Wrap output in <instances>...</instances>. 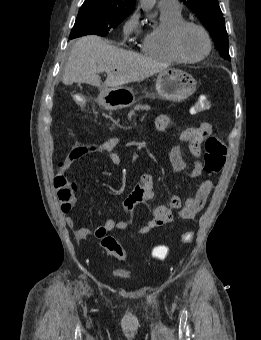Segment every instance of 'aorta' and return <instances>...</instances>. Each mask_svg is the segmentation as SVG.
<instances>
[{
  "label": "aorta",
  "mask_w": 261,
  "mask_h": 340,
  "mask_svg": "<svg viewBox=\"0 0 261 340\" xmlns=\"http://www.w3.org/2000/svg\"><path fill=\"white\" fill-rule=\"evenodd\" d=\"M140 2L143 9L148 12L154 7L156 0H140Z\"/></svg>",
  "instance_id": "aorta-1"
}]
</instances>
